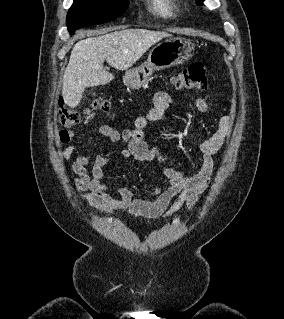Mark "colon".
<instances>
[{
	"instance_id": "5ec220e1",
	"label": "colon",
	"mask_w": 284,
	"mask_h": 319,
	"mask_svg": "<svg viewBox=\"0 0 284 319\" xmlns=\"http://www.w3.org/2000/svg\"><path fill=\"white\" fill-rule=\"evenodd\" d=\"M172 82L178 89H207V78L205 66L201 62H193L189 66L176 73ZM107 112L109 103L103 98H95L90 105L81 110H62L59 112L58 120L64 128H71L81 121L82 118L90 115L94 111Z\"/></svg>"
}]
</instances>
